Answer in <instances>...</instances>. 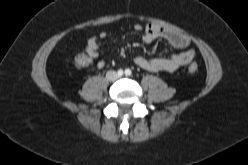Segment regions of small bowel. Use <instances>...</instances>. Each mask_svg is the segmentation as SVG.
I'll list each match as a JSON object with an SVG mask.
<instances>
[{
  "mask_svg": "<svg viewBox=\"0 0 248 165\" xmlns=\"http://www.w3.org/2000/svg\"><path fill=\"white\" fill-rule=\"evenodd\" d=\"M133 29L137 32L142 31V39L144 42H152L155 40H163L170 44L179 52L170 57H134V63L142 69L151 72H165L173 74L180 68L189 65L194 57L195 52L189 48L190 40L186 35L180 34L170 29L163 28L155 24H149L143 27L141 24H136ZM108 37L106 31H101L93 35L87 40L86 53L91 59H96L100 54V41ZM106 61L100 59L96 62L98 69L104 68Z\"/></svg>",
  "mask_w": 248,
  "mask_h": 165,
  "instance_id": "c3829d8e",
  "label": "small bowel"
}]
</instances>
